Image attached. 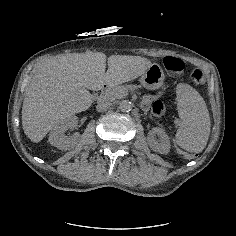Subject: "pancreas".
Instances as JSON below:
<instances>
[{"label":"pancreas","instance_id":"obj_1","mask_svg":"<svg viewBox=\"0 0 236 236\" xmlns=\"http://www.w3.org/2000/svg\"><path fill=\"white\" fill-rule=\"evenodd\" d=\"M126 92H134L135 91V85L129 84L125 86L124 88H115L114 91H108L107 93L103 94V99L113 101L116 99V95H124Z\"/></svg>","mask_w":236,"mask_h":236}]
</instances>
